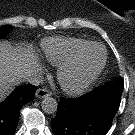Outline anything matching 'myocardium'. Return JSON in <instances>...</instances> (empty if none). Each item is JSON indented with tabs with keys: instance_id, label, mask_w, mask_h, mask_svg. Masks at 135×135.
Listing matches in <instances>:
<instances>
[{
	"instance_id": "obj_1",
	"label": "myocardium",
	"mask_w": 135,
	"mask_h": 135,
	"mask_svg": "<svg viewBox=\"0 0 135 135\" xmlns=\"http://www.w3.org/2000/svg\"><path fill=\"white\" fill-rule=\"evenodd\" d=\"M93 46H99L103 50V59L100 65L91 72L83 74L76 81H68L67 76L80 67L85 54ZM106 60L107 51L104 45L98 42H92L82 48L73 58L59 65L56 74L58 82L65 92L69 94H79L97 79L106 64Z\"/></svg>"
}]
</instances>
